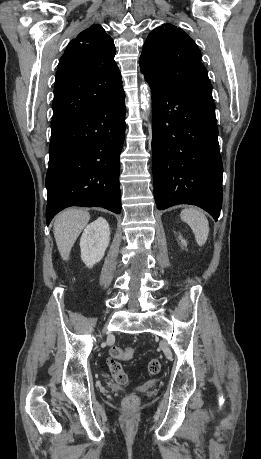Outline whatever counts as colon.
Returning a JSON list of instances; mask_svg holds the SVG:
<instances>
[{"instance_id": "1", "label": "colon", "mask_w": 261, "mask_h": 459, "mask_svg": "<svg viewBox=\"0 0 261 459\" xmlns=\"http://www.w3.org/2000/svg\"><path fill=\"white\" fill-rule=\"evenodd\" d=\"M110 359L108 360V367L111 375L119 384H126L129 381V375L124 371L122 365L118 360H131L136 350L134 348H121L113 346L109 351ZM147 370L151 375H157L161 371V362L158 359H151L148 363ZM138 398L135 395H129L125 398L124 404L128 407H133L137 404Z\"/></svg>"}]
</instances>
